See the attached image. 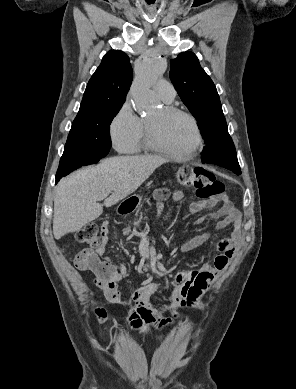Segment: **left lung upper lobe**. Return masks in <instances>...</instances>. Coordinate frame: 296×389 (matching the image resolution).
<instances>
[{"label":"left lung upper lobe","mask_w":296,"mask_h":389,"mask_svg":"<svg viewBox=\"0 0 296 389\" xmlns=\"http://www.w3.org/2000/svg\"><path fill=\"white\" fill-rule=\"evenodd\" d=\"M170 63V79L186 107L198 120V127L208 145L213 136L226 127L216 87L194 53L182 52Z\"/></svg>","instance_id":"1"}]
</instances>
